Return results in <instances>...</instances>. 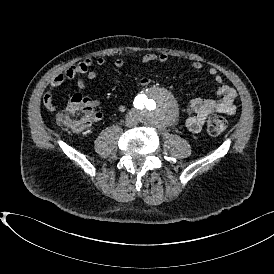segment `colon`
<instances>
[{"label": "colon", "instance_id": "obj_1", "mask_svg": "<svg viewBox=\"0 0 274 274\" xmlns=\"http://www.w3.org/2000/svg\"><path fill=\"white\" fill-rule=\"evenodd\" d=\"M94 120L92 111L83 104V100L74 99L56 117V124L73 132L81 131L84 126ZM210 134L220 135L227 129V120L221 115H212L207 122Z\"/></svg>", "mask_w": 274, "mask_h": 274}]
</instances>
